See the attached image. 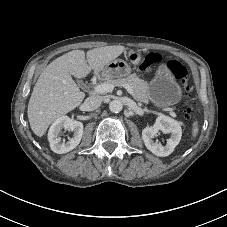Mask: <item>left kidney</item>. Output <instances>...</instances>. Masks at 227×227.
<instances>
[{
	"label": "left kidney",
	"instance_id": "5707ae66",
	"mask_svg": "<svg viewBox=\"0 0 227 227\" xmlns=\"http://www.w3.org/2000/svg\"><path fill=\"white\" fill-rule=\"evenodd\" d=\"M158 131H162L165 134L171 133V137L167 140L165 146L153 141ZM181 136L182 129L180 123L168 116H159L153 126L146 127L142 131V139L147 149L160 157L170 155L179 144Z\"/></svg>",
	"mask_w": 227,
	"mask_h": 227
}]
</instances>
